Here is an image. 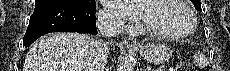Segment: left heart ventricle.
Listing matches in <instances>:
<instances>
[{
    "label": "left heart ventricle",
    "mask_w": 230,
    "mask_h": 71,
    "mask_svg": "<svg viewBox=\"0 0 230 71\" xmlns=\"http://www.w3.org/2000/svg\"><path fill=\"white\" fill-rule=\"evenodd\" d=\"M140 6L144 22L157 31L178 34L191 25L188 13L175 0L143 1Z\"/></svg>",
    "instance_id": "left-heart-ventricle-1"
}]
</instances>
